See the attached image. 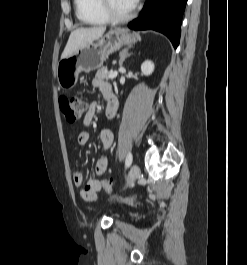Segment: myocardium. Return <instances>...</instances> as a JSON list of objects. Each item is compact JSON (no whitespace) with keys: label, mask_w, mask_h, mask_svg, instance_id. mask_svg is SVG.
<instances>
[{"label":"myocardium","mask_w":247,"mask_h":265,"mask_svg":"<svg viewBox=\"0 0 247 265\" xmlns=\"http://www.w3.org/2000/svg\"><path fill=\"white\" fill-rule=\"evenodd\" d=\"M101 9L109 21L114 23H123L134 17L136 7L133 6L128 13L122 15L115 12L108 0H101Z\"/></svg>","instance_id":"obj_1"}]
</instances>
